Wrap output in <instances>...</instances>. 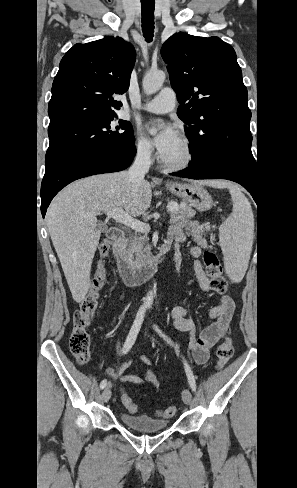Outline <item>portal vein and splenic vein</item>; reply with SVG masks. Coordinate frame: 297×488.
I'll list each match as a JSON object with an SVG mask.
<instances>
[{
  "label": "portal vein and splenic vein",
  "instance_id": "portal-vein-and-splenic-vein-1",
  "mask_svg": "<svg viewBox=\"0 0 297 488\" xmlns=\"http://www.w3.org/2000/svg\"><path fill=\"white\" fill-rule=\"evenodd\" d=\"M177 206L175 204L169 203L167 205V211L171 212L176 210ZM100 213H96L95 215H99ZM105 214L117 222L124 224L125 226L130 227L131 229L137 232H149L150 226L147 223L141 222L129 214H127L122 208H114L105 212Z\"/></svg>",
  "mask_w": 297,
  "mask_h": 488
}]
</instances>
